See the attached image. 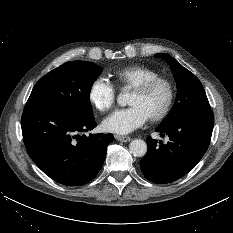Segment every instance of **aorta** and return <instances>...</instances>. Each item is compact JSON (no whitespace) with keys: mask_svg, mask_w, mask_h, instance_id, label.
Returning a JSON list of instances; mask_svg holds the SVG:
<instances>
[{"mask_svg":"<svg viewBox=\"0 0 233 233\" xmlns=\"http://www.w3.org/2000/svg\"><path fill=\"white\" fill-rule=\"evenodd\" d=\"M117 102L119 105L124 106L125 105V95L119 94V96L117 98ZM129 151L135 157H142L147 152V144L144 140L134 139L129 144Z\"/></svg>","mask_w":233,"mask_h":233,"instance_id":"obj_1","label":"aorta"}]
</instances>
